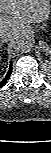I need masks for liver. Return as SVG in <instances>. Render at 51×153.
Returning a JSON list of instances; mask_svg holds the SVG:
<instances>
[{
    "label": "liver",
    "instance_id": "liver-1",
    "mask_svg": "<svg viewBox=\"0 0 51 153\" xmlns=\"http://www.w3.org/2000/svg\"><path fill=\"white\" fill-rule=\"evenodd\" d=\"M0 34L15 38L30 24L46 21L50 16V0H0Z\"/></svg>",
    "mask_w": 51,
    "mask_h": 153
}]
</instances>
